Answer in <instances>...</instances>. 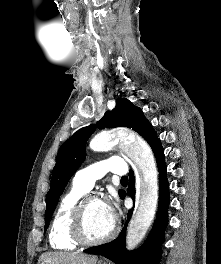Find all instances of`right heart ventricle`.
I'll use <instances>...</instances> for the list:
<instances>
[{"label": "right heart ventricle", "instance_id": "e07e8e85", "mask_svg": "<svg viewBox=\"0 0 221 264\" xmlns=\"http://www.w3.org/2000/svg\"><path fill=\"white\" fill-rule=\"evenodd\" d=\"M86 192L73 183L62 197L54 214L49 233V242L54 249L74 250L77 248L78 243L70 234V218L74 206Z\"/></svg>", "mask_w": 221, "mask_h": 264}]
</instances>
